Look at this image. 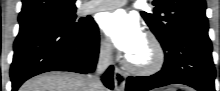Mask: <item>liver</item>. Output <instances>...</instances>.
<instances>
[{"instance_id":"1","label":"liver","mask_w":220,"mask_h":91,"mask_svg":"<svg viewBox=\"0 0 220 91\" xmlns=\"http://www.w3.org/2000/svg\"><path fill=\"white\" fill-rule=\"evenodd\" d=\"M19 91H97L89 75L72 72H50L26 81ZM100 91H105L104 88Z\"/></svg>"}]
</instances>
